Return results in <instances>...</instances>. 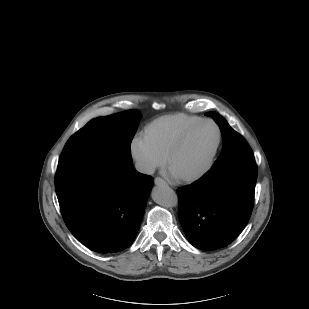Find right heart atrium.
<instances>
[{
	"label": "right heart atrium",
	"instance_id": "obj_1",
	"mask_svg": "<svg viewBox=\"0 0 309 309\" xmlns=\"http://www.w3.org/2000/svg\"><path fill=\"white\" fill-rule=\"evenodd\" d=\"M129 151L136 168L142 173H152L164 162V159L149 145L143 135L133 137Z\"/></svg>",
	"mask_w": 309,
	"mask_h": 309
}]
</instances>
